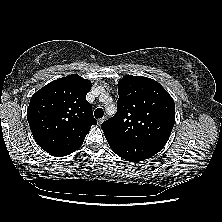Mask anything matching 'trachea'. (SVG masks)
I'll return each instance as SVG.
<instances>
[{
	"label": "trachea",
	"mask_w": 222,
	"mask_h": 222,
	"mask_svg": "<svg viewBox=\"0 0 222 222\" xmlns=\"http://www.w3.org/2000/svg\"><path fill=\"white\" fill-rule=\"evenodd\" d=\"M104 115V111L102 108H97L95 111H94V116L96 118H102Z\"/></svg>",
	"instance_id": "trachea-1"
}]
</instances>
